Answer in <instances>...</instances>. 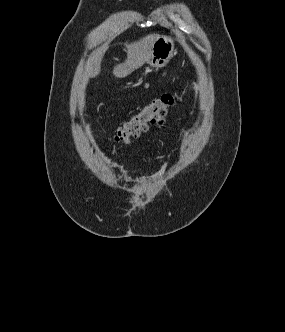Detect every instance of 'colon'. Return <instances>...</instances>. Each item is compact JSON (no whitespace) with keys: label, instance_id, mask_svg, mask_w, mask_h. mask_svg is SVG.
Wrapping results in <instances>:
<instances>
[{"label":"colon","instance_id":"5ec220e1","mask_svg":"<svg viewBox=\"0 0 285 332\" xmlns=\"http://www.w3.org/2000/svg\"><path fill=\"white\" fill-rule=\"evenodd\" d=\"M178 101L177 94H164L152 100L117 129L113 140L117 143H128L132 138L138 137L150 124L160 123L151 122V115H167Z\"/></svg>","mask_w":285,"mask_h":332}]
</instances>
